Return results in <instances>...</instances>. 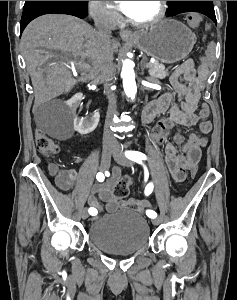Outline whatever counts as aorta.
Wrapping results in <instances>:
<instances>
[{
	"instance_id": "obj_1",
	"label": "aorta",
	"mask_w": 237,
	"mask_h": 300,
	"mask_svg": "<svg viewBox=\"0 0 237 300\" xmlns=\"http://www.w3.org/2000/svg\"><path fill=\"white\" fill-rule=\"evenodd\" d=\"M121 77L123 79V87L127 97L130 99H135L137 93V87L135 83V73L131 61H124Z\"/></svg>"
}]
</instances>
